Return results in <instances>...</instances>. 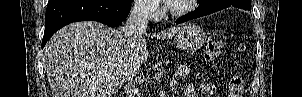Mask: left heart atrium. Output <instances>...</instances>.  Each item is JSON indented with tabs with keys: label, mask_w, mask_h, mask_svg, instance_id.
<instances>
[{
	"label": "left heart atrium",
	"mask_w": 302,
	"mask_h": 97,
	"mask_svg": "<svg viewBox=\"0 0 302 97\" xmlns=\"http://www.w3.org/2000/svg\"><path fill=\"white\" fill-rule=\"evenodd\" d=\"M163 2H165L166 4H171L174 0H162Z\"/></svg>",
	"instance_id": "obj_1"
}]
</instances>
